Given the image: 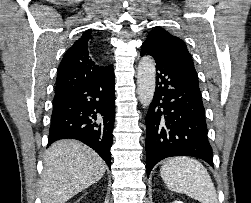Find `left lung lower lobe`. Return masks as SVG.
I'll use <instances>...</instances> for the list:
<instances>
[{
	"label": "left lung lower lobe",
	"mask_w": 251,
	"mask_h": 203,
	"mask_svg": "<svg viewBox=\"0 0 251 203\" xmlns=\"http://www.w3.org/2000/svg\"><path fill=\"white\" fill-rule=\"evenodd\" d=\"M143 55L153 56L157 70L156 90L146 116L147 175L159 161L172 156H193L213 166L197 76L147 45H142Z\"/></svg>",
	"instance_id": "0a47b994"
}]
</instances>
